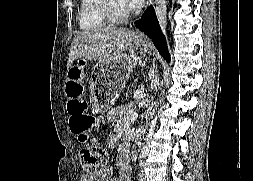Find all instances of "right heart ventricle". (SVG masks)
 Masks as SVG:
<instances>
[{"instance_id": "right-heart-ventricle-1", "label": "right heart ventricle", "mask_w": 253, "mask_h": 181, "mask_svg": "<svg viewBox=\"0 0 253 181\" xmlns=\"http://www.w3.org/2000/svg\"><path fill=\"white\" fill-rule=\"evenodd\" d=\"M78 21L83 31L97 30L109 24L100 12V0H80Z\"/></svg>"}]
</instances>
